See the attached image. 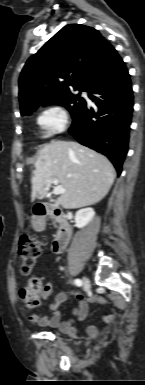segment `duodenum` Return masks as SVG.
I'll return each instance as SVG.
<instances>
[{
    "instance_id": "1",
    "label": "duodenum",
    "mask_w": 145,
    "mask_h": 385,
    "mask_svg": "<svg viewBox=\"0 0 145 385\" xmlns=\"http://www.w3.org/2000/svg\"><path fill=\"white\" fill-rule=\"evenodd\" d=\"M34 214L37 218L35 227L39 230H42L45 227L46 223L44 218L46 217L53 219L58 224L59 229L53 240L52 248L56 253L63 251L68 245L71 236L70 226L65 213L54 204L40 202L36 205Z\"/></svg>"
}]
</instances>
